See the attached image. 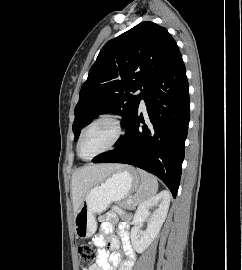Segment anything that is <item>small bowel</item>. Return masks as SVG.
I'll use <instances>...</instances> for the list:
<instances>
[{
	"mask_svg": "<svg viewBox=\"0 0 242 270\" xmlns=\"http://www.w3.org/2000/svg\"><path fill=\"white\" fill-rule=\"evenodd\" d=\"M130 221L131 216L127 213L110 212L105 215L101 224V233L92 239L97 248L98 260L83 270H116L123 260L122 254L118 251L120 240L130 258L128 262L123 264V268L131 270L135 256L129 240ZM116 222H118V236L114 234Z\"/></svg>",
	"mask_w": 242,
	"mask_h": 270,
	"instance_id": "1",
	"label": "small bowel"
}]
</instances>
